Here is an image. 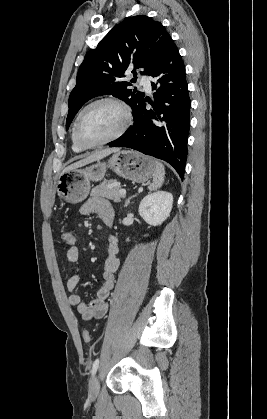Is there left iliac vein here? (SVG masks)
Returning a JSON list of instances; mask_svg holds the SVG:
<instances>
[{
    "label": "left iliac vein",
    "mask_w": 267,
    "mask_h": 419,
    "mask_svg": "<svg viewBox=\"0 0 267 419\" xmlns=\"http://www.w3.org/2000/svg\"><path fill=\"white\" fill-rule=\"evenodd\" d=\"M99 391V377L98 375L93 376L89 384V396L96 397Z\"/></svg>",
    "instance_id": "4c4485c4"
}]
</instances>
